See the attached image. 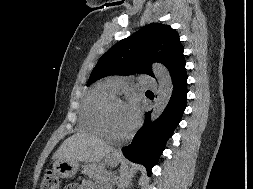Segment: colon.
Listing matches in <instances>:
<instances>
[{"label":"colon","mask_w":253,"mask_h":189,"mask_svg":"<svg viewBox=\"0 0 253 189\" xmlns=\"http://www.w3.org/2000/svg\"><path fill=\"white\" fill-rule=\"evenodd\" d=\"M61 180L52 171L46 172L42 179L41 189H60Z\"/></svg>","instance_id":"colon-1"}]
</instances>
